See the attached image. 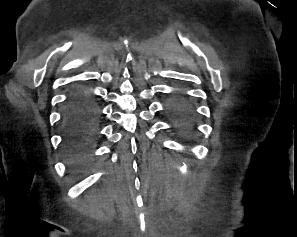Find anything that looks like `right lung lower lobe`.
<instances>
[{"mask_svg":"<svg viewBox=\"0 0 297 237\" xmlns=\"http://www.w3.org/2000/svg\"><path fill=\"white\" fill-rule=\"evenodd\" d=\"M96 115L95 105L89 95L83 92L72 94L63 116L64 145L69 161L77 167L88 159Z\"/></svg>","mask_w":297,"mask_h":237,"instance_id":"right-lung-lower-lobe-1","label":"right lung lower lobe"}]
</instances>
